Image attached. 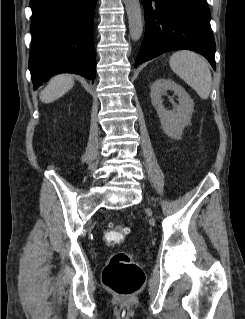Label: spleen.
I'll list each match as a JSON object with an SVG mask.
<instances>
[{
  "label": "spleen",
  "instance_id": "spleen-1",
  "mask_svg": "<svg viewBox=\"0 0 245 319\" xmlns=\"http://www.w3.org/2000/svg\"><path fill=\"white\" fill-rule=\"evenodd\" d=\"M169 65L202 99L209 97L212 76L209 63L204 57L193 51L181 50L172 54Z\"/></svg>",
  "mask_w": 245,
  "mask_h": 319
}]
</instances>
